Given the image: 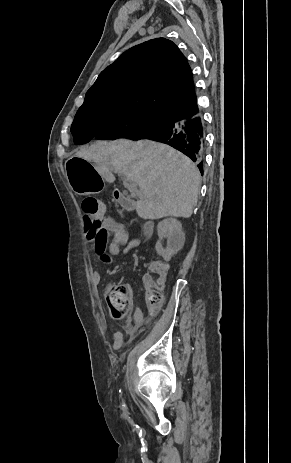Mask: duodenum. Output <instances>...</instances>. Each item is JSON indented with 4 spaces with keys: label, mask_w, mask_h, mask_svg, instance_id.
I'll return each instance as SVG.
<instances>
[{
    "label": "duodenum",
    "mask_w": 291,
    "mask_h": 463,
    "mask_svg": "<svg viewBox=\"0 0 291 463\" xmlns=\"http://www.w3.org/2000/svg\"><path fill=\"white\" fill-rule=\"evenodd\" d=\"M113 197L117 202H119V204L123 208H125L127 210H131L133 208V200L126 193H124L122 190H119V189L114 190ZM152 230H153L152 222H150V221L146 222V224L144 226V235L146 237L150 236L151 233H152Z\"/></svg>",
    "instance_id": "410a0bca"
}]
</instances>
